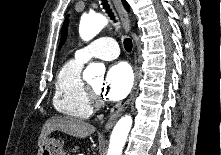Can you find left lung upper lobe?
I'll use <instances>...</instances> for the list:
<instances>
[{"label": "left lung upper lobe", "mask_w": 221, "mask_h": 155, "mask_svg": "<svg viewBox=\"0 0 221 155\" xmlns=\"http://www.w3.org/2000/svg\"><path fill=\"white\" fill-rule=\"evenodd\" d=\"M67 26H68V20H65L64 25H63V28H62L61 41H60L59 47L62 46V44L64 43V41H65V39H66Z\"/></svg>", "instance_id": "left-lung-upper-lobe-1"}]
</instances>
